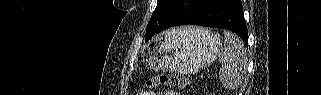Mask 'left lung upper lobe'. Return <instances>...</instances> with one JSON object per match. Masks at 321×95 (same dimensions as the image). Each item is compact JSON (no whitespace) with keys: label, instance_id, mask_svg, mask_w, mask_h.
Masks as SVG:
<instances>
[{"label":"left lung upper lobe","instance_id":"5c2ea615","mask_svg":"<svg viewBox=\"0 0 321 95\" xmlns=\"http://www.w3.org/2000/svg\"><path fill=\"white\" fill-rule=\"evenodd\" d=\"M175 0H158L156 9L154 10L151 19L146 27V38L152 36L158 25L162 22L166 14L168 13L169 9L173 5Z\"/></svg>","mask_w":321,"mask_h":95}]
</instances>
